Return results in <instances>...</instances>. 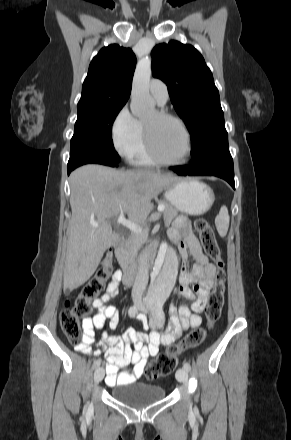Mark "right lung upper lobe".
I'll list each match as a JSON object with an SVG mask.
<instances>
[{
	"instance_id": "1",
	"label": "right lung upper lobe",
	"mask_w": 291,
	"mask_h": 440,
	"mask_svg": "<svg viewBox=\"0 0 291 440\" xmlns=\"http://www.w3.org/2000/svg\"><path fill=\"white\" fill-rule=\"evenodd\" d=\"M136 57L131 49L111 44L102 48L90 63L78 104L127 102L131 93Z\"/></svg>"
}]
</instances>
